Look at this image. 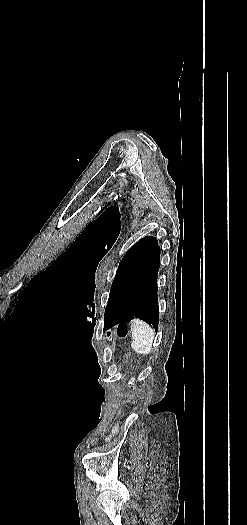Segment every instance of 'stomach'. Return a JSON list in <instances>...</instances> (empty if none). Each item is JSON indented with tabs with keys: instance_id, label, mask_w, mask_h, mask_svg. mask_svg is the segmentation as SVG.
Listing matches in <instances>:
<instances>
[{
	"instance_id": "0dacf381",
	"label": "stomach",
	"mask_w": 247,
	"mask_h": 525,
	"mask_svg": "<svg viewBox=\"0 0 247 525\" xmlns=\"http://www.w3.org/2000/svg\"><path fill=\"white\" fill-rule=\"evenodd\" d=\"M127 330V326H119L118 328L112 330V334L113 336H115V333L119 334L120 336H125L127 334Z\"/></svg>"
}]
</instances>
